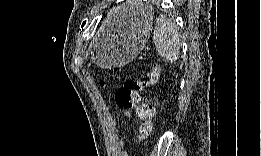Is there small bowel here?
I'll return each mask as SVG.
<instances>
[{"label":"small bowel","instance_id":"small-bowel-1","mask_svg":"<svg viewBox=\"0 0 261 156\" xmlns=\"http://www.w3.org/2000/svg\"><path fill=\"white\" fill-rule=\"evenodd\" d=\"M130 116V113L129 112H125L124 113V123H125V119L128 118Z\"/></svg>","mask_w":261,"mask_h":156}]
</instances>
